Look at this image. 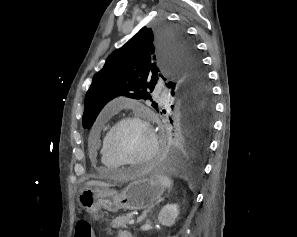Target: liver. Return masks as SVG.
<instances>
[{
  "label": "liver",
  "instance_id": "liver-1",
  "mask_svg": "<svg viewBox=\"0 0 297 237\" xmlns=\"http://www.w3.org/2000/svg\"><path fill=\"white\" fill-rule=\"evenodd\" d=\"M87 186H97V187H109L110 184L104 183V182H100V181H96V180H91L89 182L86 183Z\"/></svg>",
  "mask_w": 297,
  "mask_h": 237
}]
</instances>
